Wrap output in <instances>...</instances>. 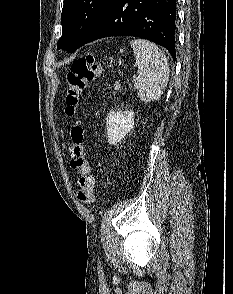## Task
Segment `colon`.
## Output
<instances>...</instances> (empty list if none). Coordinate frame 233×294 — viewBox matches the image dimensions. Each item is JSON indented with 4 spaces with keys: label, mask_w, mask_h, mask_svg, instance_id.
Returning a JSON list of instances; mask_svg holds the SVG:
<instances>
[{
    "label": "colon",
    "mask_w": 233,
    "mask_h": 294,
    "mask_svg": "<svg viewBox=\"0 0 233 294\" xmlns=\"http://www.w3.org/2000/svg\"><path fill=\"white\" fill-rule=\"evenodd\" d=\"M100 73V66L96 63L93 55L76 59L66 76L67 92L65 96V114L73 116L79 99L86 90L88 84ZM70 139V166L78 174L77 199L85 204L94 201L95 177L91 173L90 165L84 151V128L80 121L76 122L69 131Z\"/></svg>",
    "instance_id": "colon-1"
}]
</instances>
